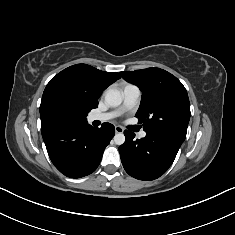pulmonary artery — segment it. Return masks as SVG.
<instances>
[{"mask_svg": "<svg viewBox=\"0 0 235 235\" xmlns=\"http://www.w3.org/2000/svg\"><path fill=\"white\" fill-rule=\"evenodd\" d=\"M140 97V90L137 86L132 84H127L123 88V103L119 110L107 112V113H96L92 114L89 117L90 121H108L115 117H117L121 112L126 111L137 103L138 99ZM146 136L145 131H141L139 133L140 138H144Z\"/></svg>", "mask_w": 235, "mask_h": 235, "instance_id": "e3ab8cb5", "label": "pulmonary artery"}]
</instances>
